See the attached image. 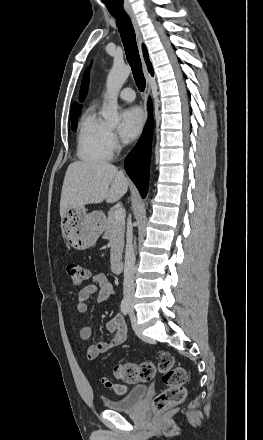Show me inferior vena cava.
<instances>
[{
  "instance_id": "1",
  "label": "inferior vena cava",
  "mask_w": 263,
  "mask_h": 440,
  "mask_svg": "<svg viewBox=\"0 0 263 440\" xmlns=\"http://www.w3.org/2000/svg\"><path fill=\"white\" fill-rule=\"evenodd\" d=\"M133 228L129 223L126 232V250H125V263H124V282L123 292L128 298H131L134 294V274H135V254L132 244Z\"/></svg>"
}]
</instances>
